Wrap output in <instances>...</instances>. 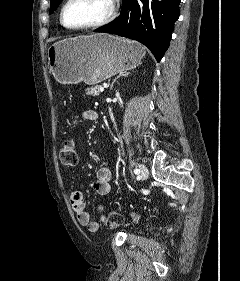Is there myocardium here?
I'll use <instances>...</instances> for the list:
<instances>
[{
  "mask_svg": "<svg viewBox=\"0 0 240 281\" xmlns=\"http://www.w3.org/2000/svg\"><path fill=\"white\" fill-rule=\"evenodd\" d=\"M72 0H66L61 8L60 11V22L61 24L69 29V30H86V29H93V28H98V27H102L108 23H110L116 16L117 13V7H116V2L115 0H109V4H110V10L108 12V14L102 18L99 21H96L94 23H90V24H86V25H81V26H69L64 19V13H65V9L68 6V4L71 2Z\"/></svg>",
  "mask_w": 240,
  "mask_h": 281,
  "instance_id": "obj_1",
  "label": "myocardium"
}]
</instances>
